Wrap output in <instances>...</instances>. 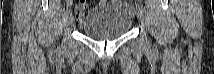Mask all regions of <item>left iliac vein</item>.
I'll list each match as a JSON object with an SVG mask.
<instances>
[{
	"instance_id": "obj_1",
	"label": "left iliac vein",
	"mask_w": 214,
	"mask_h": 74,
	"mask_svg": "<svg viewBox=\"0 0 214 74\" xmlns=\"http://www.w3.org/2000/svg\"><path fill=\"white\" fill-rule=\"evenodd\" d=\"M137 18L140 22H143L144 20V11L138 10L137 12Z\"/></svg>"
}]
</instances>
